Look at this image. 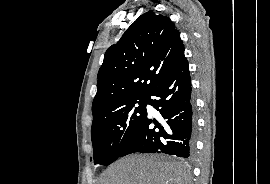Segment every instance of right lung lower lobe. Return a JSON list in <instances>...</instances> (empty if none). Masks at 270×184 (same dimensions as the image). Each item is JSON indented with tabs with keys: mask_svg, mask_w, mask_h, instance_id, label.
<instances>
[{
	"mask_svg": "<svg viewBox=\"0 0 270 184\" xmlns=\"http://www.w3.org/2000/svg\"><path fill=\"white\" fill-rule=\"evenodd\" d=\"M154 96V99L150 97ZM147 104L161 113L159 123L147 116L119 157L134 153H166L189 158L194 149L195 123L191 97V78L185 58L148 94ZM154 123L153 128L150 124Z\"/></svg>",
	"mask_w": 270,
	"mask_h": 184,
	"instance_id": "obj_1",
	"label": "right lung lower lobe"
}]
</instances>
